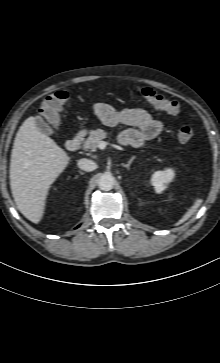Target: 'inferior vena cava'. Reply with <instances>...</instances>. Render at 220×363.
I'll use <instances>...</instances> for the list:
<instances>
[{"instance_id": "1", "label": "inferior vena cava", "mask_w": 220, "mask_h": 363, "mask_svg": "<svg viewBox=\"0 0 220 363\" xmlns=\"http://www.w3.org/2000/svg\"><path fill=\"white\" fill-rule=\"evenodd\" d=\"M78 167L84 171H93L97 168V164L89 159L82 158L78 161Z\"/></svg>"}]
</instances>
